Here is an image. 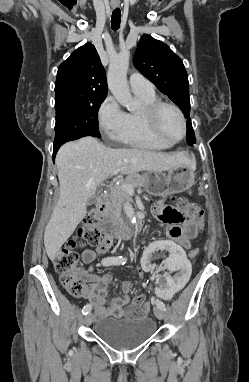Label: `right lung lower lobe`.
<instances>
[{
  "label": "right lung lower lobe",
  "instance_id": "1",
  "mask_svg": "<svg viewBox=\"0 0 249 382\" xmlns=\"http://www.w3.org/2000/svg\"><path fill=\"white\" fill-rule=\"evenodd\" d=\"M81 138V137H80ZM78 139V138H77ZM73 140H75V139H73ZM71 141V140H70ZM66 142H68V141H64V142H61V143H57V144H54V149H53V160L55 159V156H56V153H57V151H58V149L64 144V143H66Z\"/></svg>",
  "mask_w": 249,
  "mask_h": 382
}]
</instances>
